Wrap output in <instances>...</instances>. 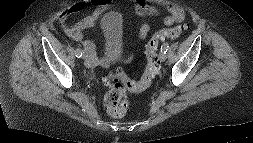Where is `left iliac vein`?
I'll return each mask as SVG.
<instances>
[{
    "mask_svg": "<svg viewBox=\"0 0 253 143\" xmlns=\"http://www.w3.org/2000/svg\"><path fill=\"white\" fill-rule=\"evenodd\" d=\"M166 58H167V56H166V54H165V53H163V52H162V53H160V55H159V60H160V61H162V62H163V61H165V60H166Z\"/></svg>",
    "mask_w": 253,
    "mask_h": 143,
    "instance_id": "1",
    "label": "left iliac vein"
}]
</instances>
